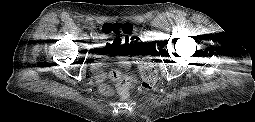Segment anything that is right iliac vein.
<instances>
[{
  "label": "right iliac vein",
  "mask_w": 255,
  "mask_h": 122,
  "mask_svg": "<svg viewBox=\"0 0 255 122\" xmlns=\"http://www.w3.org/2000/svg\"><path fill=\"white\" fill-rule=\"evenodd\" d=\"M93 39H94V41H97L99 39V37L95 36Z\"/></svg>",
  "instance_id": "63e3f726"
}]
</instances>
